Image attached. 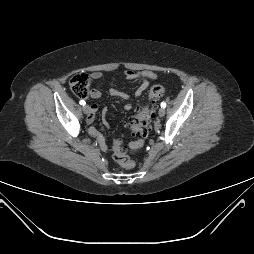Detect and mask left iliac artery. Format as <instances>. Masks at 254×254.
<instances>
[{"mask_svg":"<svg viewBox=\"0 0 254 254\" xmlns=\"http://www.w3.org/2000/svg\"><path fill=\"white\" fill-rule=\"evenodd\" d=\"M166 107V103L163 101L162 103H161V108H165Z\"/></svg>","mask_w":254,"mask_h":254,"instance_id":"left-iliac-artery-1","label":"left iliac artery"}]
</instances>
